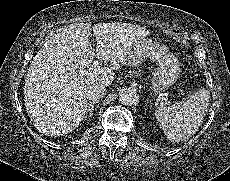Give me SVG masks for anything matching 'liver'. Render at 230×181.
<instances>
[{"instance_id": "6515ba94", "label": "liver", "mask_w": 230, "mask_h": 181, "mask_svg": "<svg viewBox=\"0 0 230 181\" xmlns=\"http://www.w3.org/2000/svg\"><path fill=\"white\" fill-rule=\"evenodd\" d=\"M92 30L96 57L107 67L92 65ZM147 35L144 27L79 23L48 39L34 57L25 80V106L34 126L47 135L73 131L88 110L86 91L96 85L110 86L113 70L125 63L132 42Z\"/></svg>"}]
</instances>
